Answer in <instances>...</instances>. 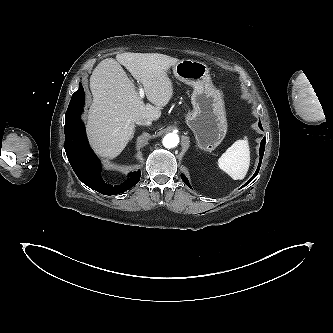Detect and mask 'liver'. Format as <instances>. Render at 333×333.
Segmentation results:
<instances>
[{"label":"liver","mask_w":333,"mask_h":333,"mask_svg":"<svg viewBox=\"0 0 333 333\" xmlns=\"http://www.w3.org/2000/svg\"><path fill=\"white\" fill-rule=\"evenodd\" d=\"M180 60L158 53H122L116 60L106 58L90 78L93 102L88 112L87 133L94 151L101 157H117L133 137L135 121L140 117L158 120L160 107L173 96L167 71ZM123 65L144 87V104Z\"/></svg>","instance_id":"obj_1"}]
</instances>
